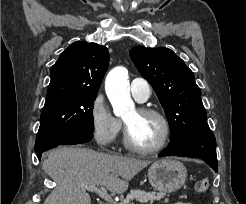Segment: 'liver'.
Instances as JSON below:
<instances>
[{"mask_svg":"<svg viewBox=\"0 0 246 204\" xmlns=\"http://www.w3.org/2000/svg\"><path fill=\"white\" fill-rule=\"evenodd\" d=\"M150 163L88 148L59 147L51 151L42 164L57 184L44 204H91L88 185L124 193L129 181Z\"/></svg>","mask_w":246,"mask_h":204,"instance_id":"1","label":"liver"}]
</instances>
